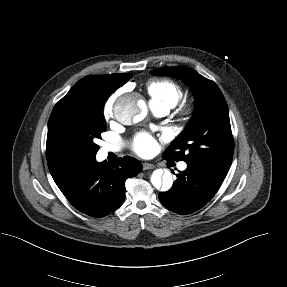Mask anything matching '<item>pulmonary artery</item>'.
Returning a JSON list of instances; mask_svg holds the SVG:
<instances>
[{
  "label": "pulmonary artery",
  "instance_id": "obj_1",
  "mask_svg": "<svg viewBox=\"0 0 287 287\" xmlns=\"http://www.w3.org/2000/svg\"><path fill=\"white\" fill-rule=\"evenodd\" d=\"M151 108L154 111V113L158 116H164L169 112V109L167 107L161 106V105H155L151 104ZM119 147L115 145H105L104 151L106 152H115L118 151ZM187 165L186 163L182 162L179 164V169L184 170L186 169Z\"/></svg>",
  "mask_w": 287,
  "mask_h": 287
}]
</instances>
